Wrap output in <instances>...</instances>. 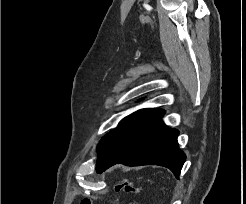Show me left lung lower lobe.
<instances>
[{
	"label": "left lung lower lobe",
	"instance_id": "obj_1",
	"mask_svg": "<svg viewBox=\"0 0 246 204\" xmlns=\"http://www.w3.org/2000/svg\"><path fill=\"white\" fill-rule=\"evenodd\" d=\"M161 109H142L125 117L99 142L97 173L117 163L129 166L160 165L178 178L185 154L178 148V130L161 120Z\"/></svg>",
	"mask_w": 246,
	"mask_h": 204
}]
</instances>
